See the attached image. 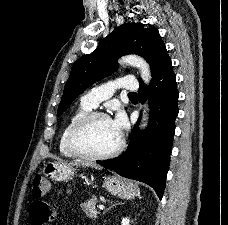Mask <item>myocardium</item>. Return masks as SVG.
I'll return each mask as SVG.
<instances>
[{
	"label": "myocardium",
	"mask_w": 228,
	"mask_h": 225,
	"mask_svg": "<svg viewBox=\"0 0 228 225\" xmlns=\"http://www.w3.org/2000/svg\"><path fill=\"white\" fill-rule=\"evenodd\" d=\"M97 119H105L111 121L110 117L102 112H90L81 119H79L73 128L70 131L68 144L70 150L79 157L92 159V160H100L107 159L119 154L125 145L124 139L120 137L119 144L110 151L104 153H94L85 149L81 143L80 138L83 132L87 129V127Z\"/></svg>",
	"instance_id": "myocardium-1"
}]
</instances>
